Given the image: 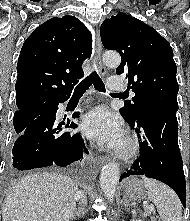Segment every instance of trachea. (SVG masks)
I'll list each match as a JSON object with an SVG mask.
<instances>
[{
	"mask_svg": "<svg viewBox=\"0 0 190 221\" xmlns=\"http://www.w3.org/2000/svg\"><path fill=\"white\" fill-rule=\"evenodd\" d=\"M92 84L99 92H105V85L103 81L101 80L97 72L93 71L89 76H87L75 87L73 95H83Z\"/></svg>",
	"mask_w": 190,
	"mask_h": 221,
	"instance_id": "obj_1",
	"label": "trachea"
}]
</instances>
